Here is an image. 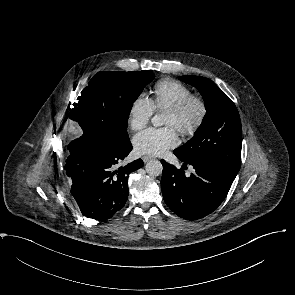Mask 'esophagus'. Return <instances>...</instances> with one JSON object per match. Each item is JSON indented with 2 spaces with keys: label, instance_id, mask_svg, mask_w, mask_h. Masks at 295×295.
I'll return each instance as SVG.
<instances>
[{
  "label": "esophagus",
  "instance_id": "obj_1",
  "mask_svg": "<svg viewBox=\"0 0 295 295\" xmlns=\"http://www.w3.org/2000/svg\"><path fill=\"white\" fill-rule=\"evenodd\" d=\"M151 159H153V157H151V156H143V157H142V160H143L144 162H147V161H149V160H151Z\"/></svg>",
  "mask_w": 295,
  "mask_h": 295
}]
</instances>
